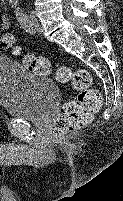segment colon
I'll return each instance as SVG.
<instances>
[{"label": "colon", "instance_id": "colon-1", "mask_svg": "<svg viewBox=\"0 0 123 201\" xmlns=\"http://www.w3.org/2000/svg\"><path fill=\"white\" fill-rule=\"evenodd\" d=\"M2 46L14 54L20 51L10 35L4 38ZM25 64L33 73L44 76L54 74L58 81L70 83L78 91L77 97L66 102L55 117L52 129L54 139H61L90 124L94 114L102 105V98L99 91L92 87V78L87 70L72 71L67 67L54 68L47 58L39 55L26 56Z\"/></svg>", "mask_w": 123, "mask_h": 201}]
</instances>
